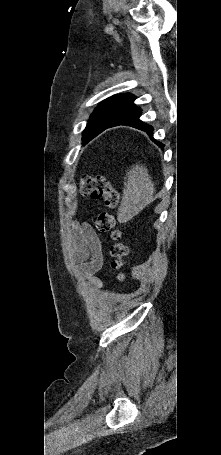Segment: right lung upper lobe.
Returning <instances> with one entry per match:
<instances>
[{
	"label": "right lung upper lobe",
	"mask_w": 221,
	"mask_h": 455,
	"mask_svg": "<svg viewBox=\"0 0 221 455\" xmlns=\"http://www.w3.org/2000/svg\"><path fill=\"white\" fill-rule=\"evenodd\" d=\"M135 97L130 94H119L116 96H113L104 102H102L100 105L104 106H111L119 109H123L125 111H130L133 108H135L133 101Z\"/></svg>",
	"instance_id": "1"
}]
</instances>
